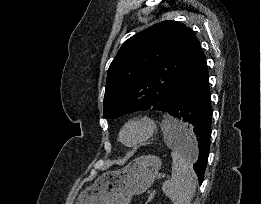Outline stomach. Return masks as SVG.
<instances>
[{
	"label": "stomach",
	"instance_id": "0dacf381",
	"mask_svg": "<svg viewBox=\"0 0 261 204\" xmlns=\"http://www.w3.org/2000/svg\"><path fill=\"white\" fill-rule=\"evenodd\" d=\"M161 164L158 156L146 155L120 169L106 171L80 192L75 204H129L134 195L152 185Z\"/></svg>",
	"mask_w": 261,
	"mask_h": 204
}]
</instances>
